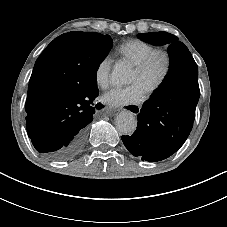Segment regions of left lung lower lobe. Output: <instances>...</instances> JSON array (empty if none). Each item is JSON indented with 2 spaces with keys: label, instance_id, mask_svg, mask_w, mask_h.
<instances>
[{
  "label": "left lung lower lobe",
  "instance_id": "1",
  "mask_svg": "<svg viewBox=\"0 0 227 227\" xmlns=\"http://www.w3.org/2000/svg\"><path fill=\"white\" fill-rule=\"evenodd\" d=\"M172 58L162 85L138 114L136 131L121 137L129 152L142 160L168 158L183 145L193 126L200 96L198 68L186 48Z\"/></svg>",
  "mask_w": 227,
  "mask_h": 227
}]
</instances>
